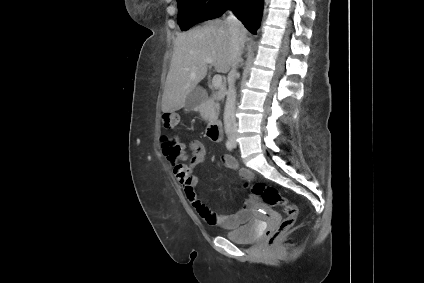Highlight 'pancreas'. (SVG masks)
<instances>
[{"instance_id": "1", "label": "pancreas", "mask_w": 424, "mask_h": 283, "mask_svg": "<svg viewBox=\"0 0 424 283\" xmlns=\"http://www.w3.org/2000/svg\"><path fill=\"white\" fill-rule=\"evenodd\" d=\"M219 103L215 102L214 99H209L204 102L200 107V116L205 120H210L212 117L218 115Z\"/></svg>"}]
</instances>
